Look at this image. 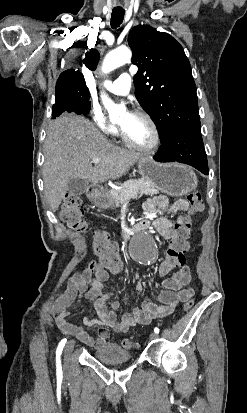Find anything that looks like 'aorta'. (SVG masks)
<instances>
[{"label": "aorta", "instance_id": "obj_1", "mask_svg": "<svg viewBox=\"0 0 247 413\" xmlns=\"http://www.w3.org/2000/svg\"><path fill=\"white\" fill-rule=\"evenodd\" d=\"M132 57L131 50L127 47H119L108 53L103 61L102 72L109 73L116 68L128 63ZM103 105L109 112L110 117L119 116L123 108L114 104L111 99L105 94L101 95Z\"/></svg>", "mask_w": 247, "mask_h": 413}]
</instances>
